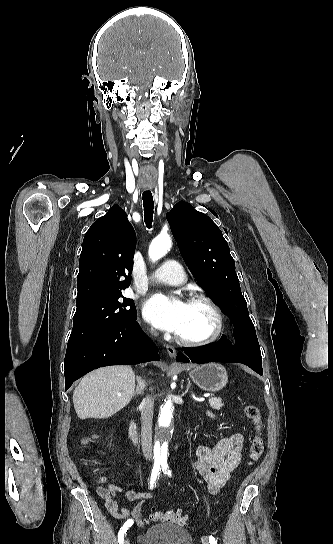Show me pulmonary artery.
I'll use <instances>...</instances> for the list:
<instances>
[{"label": "pulmonary artery", "instance_id": "obj_1", "mask_svg": "<svg viewBox=\"0 0 333 544\" xmlns=\"http://www.w3.org/2000/svg\"><path fill=\"white\" fill-rule=\"evenodd\" d=\"M151 278L157 282L177 285L185 281L186 274L179 262L167 260L153 273Z\"/></svg>", "mask_w": 333, "mask_h": 544}]
</instances>
